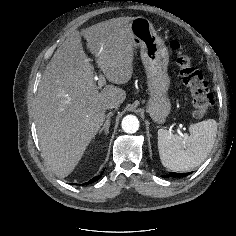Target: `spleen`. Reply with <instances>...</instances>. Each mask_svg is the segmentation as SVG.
<instances>
[{
	"label": "spleen",
	"instance_id": "spleen-1",
	"mask_svg": "<svg viewBox=\"0 0 236 236\" xmlns=\"http://www.w3.org/2000/svg\"><path fill=\"white\" fill-rule=\"evenodd\" d=\"M189 132V136H180L166 129L158 130V151L164 167L189 171L207 158L216 139L217 122L203 120L190 125Z\"/></svg>",
	"mask_w": 236,
	"mask_h": 236
}]
</instances>
